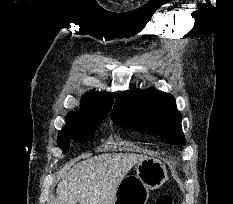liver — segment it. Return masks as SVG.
Instances as JSON below:
<instances>
[{"label":"liver","instance_id":"obj_1","mask_svg":"<svg viewBox=\"0 0 233 204\" xmlns=\"http://www.w3.org/2000/svg\"><path fill=\"white\" fill-rule=\"evenodd\" d=\"M144 158L134 153H105L77 163L57 186V204H112L118 185Z\"/></svg>","mask_w":233,"mask_h":204}]
</instances>
